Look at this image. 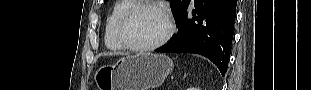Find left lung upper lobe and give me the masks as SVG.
<instances>
[{
    "label": "left lung upper lobe",
    "mask_w": 311,
    "mask_h": 90,
    "mask_svg": "<svg viewBox=\"0 0 311 90\" xmlns=\"http://www.w3.org/2000/svg\"><path fill=\"white\" fill-rule=\"evenodd\" d=\"M107 0H104L106 2ZM191 0H172L170 7L173 11L175 18L177 19L181 12L186 8Z\"/></svg>",
    "instance_id": "5c2ea615"
}]
</instances>
